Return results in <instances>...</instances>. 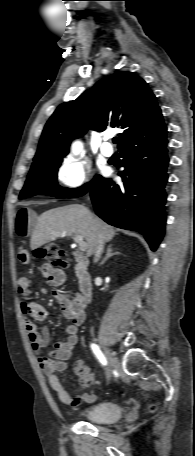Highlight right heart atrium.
<instances>
[{
	"label": "right heart atrium",
	"mask_w": 195,
	"mask_h": 456,
	"mask_svg": "<svg viewBox=\"0 0 195 456\" xmlns=\"http://www.w3.org/2000/svg\"><path fill=\"white\" fill-rule=\"evenodd\" d=\"M91 177L90 167L83 161L65 159L57 167L56 178L67 191H77L85 187Z\"/></svg>",
	"instance_id": "1"
}]
</instances>
